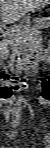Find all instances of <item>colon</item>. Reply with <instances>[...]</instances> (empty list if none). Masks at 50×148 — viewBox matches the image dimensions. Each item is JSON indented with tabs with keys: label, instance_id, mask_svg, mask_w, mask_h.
Segmentation results:
<instances>
[{
	"label": "colon",
	"instance_id": "obj_1",
	"mask_svg": "<svg viewBox=\"0 0 50 148\" xmlns=\"http://www.w3.org/2000/svg\"><path fill=\"white\" fill-rule=\"evenodd\" d=\"M2 85L0 87V97L4 100L12 99L21 90L19 86V80L10 77L7 73H1ZM23 82H25L23 80ZM35 88L38 93V97L41 99L50 98V79L48 76H44L35 82Z\"/></svg>",
	"mask_w": 50,
	"mask_h": 148
}]
</instances>
